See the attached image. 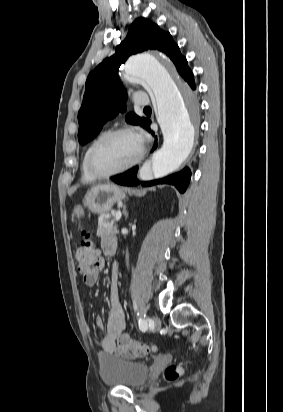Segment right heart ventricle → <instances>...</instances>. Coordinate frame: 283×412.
<instances>
[{"instance_id": "right-heart-ventricle-1", "label": "right heart ventricle", "mask_w": 283, "mask_h": 412, "mask_svg": "<svg viewBox=\"0 0 283 412\" xmlns=\"http://www.w3.org/2000/svg\"><path fill=\"white\" fill-rule=\"evenodd\" d=\"M103 135V133L98 134L87 146L84 154H83V158H82V162H81V177L82 180L85 182H91L94 180V177L91 175V173L89 172L88 168H87V154L88 151L90 149V147L92 146V144L101 136Z\"/></svg>"}]
</instances>
